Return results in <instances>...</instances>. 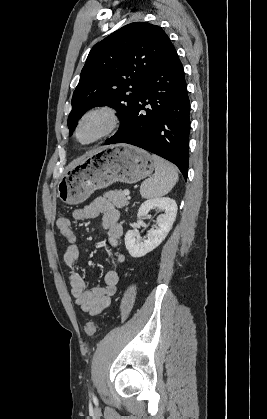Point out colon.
I'll return each instance as SVG.
<instances>
[{"instance_id": "obj_1", "label": "colon", "mask_w": 267, "mask_h": 419, "mask_svg": "<svg viewBox=\"0 0 267 419\" xmlns=\"http://www.w3.org/2000/svg\"><path fill=\"white\" fill-rule=\"evenodd\" d=\"M57 226L60 231V234L67 239L68 241H74L75 235L74 232L70 226V222L67 218L61 217L57 220ZM98 328V324L94 321L88 322L85 327L84 331L87 336H92Z\"/></svg>"}]
</instances>
